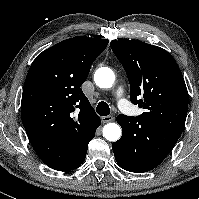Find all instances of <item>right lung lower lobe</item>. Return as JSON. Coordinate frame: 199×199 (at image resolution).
Masks as SVG:
<instances>
[{"mask_svg":"<svg viewBox=\"0 0 199 199\" xmlns=\"http://www.w3.org/2000/svg\"><path fill=\"white\" fill-rule=\"evenodd\" d=\"M100 123L101 121L90 133L66 143L64 146L66 152L64 157L54 159V157L39 155L40 159L47 166L57 171H70L78 168L85 160L88 143L95 136L96 129Z\"/></svg>","mask_w":199,"mask_h":199,"instance_id":"right-lung-lower-lobe-1","label":"right lung lower lobe"}]
</instances>
